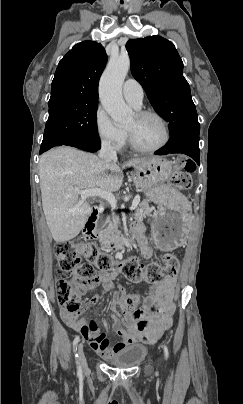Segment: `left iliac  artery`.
<instances>
[{
    "label": "left iliac artery",
    "instance_id": "left-iliac-artery-1",
    "mask_svg": "<svg viewBox=\"0 0 243 404\" xmlns=\"http://www.w3.org/2000/svg\"><path fill=\"white\" fill-rule=\"evenodd\" d=\"M163 348H164V357H165V359H167L169 356L168 348L166 345H164Z\"/></svg>",
    "mask_w": 243,
    "mask_h": 404
}]
</instances>
